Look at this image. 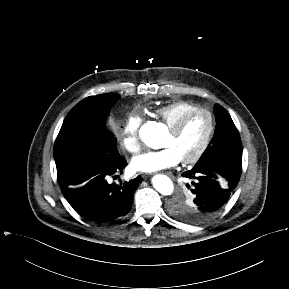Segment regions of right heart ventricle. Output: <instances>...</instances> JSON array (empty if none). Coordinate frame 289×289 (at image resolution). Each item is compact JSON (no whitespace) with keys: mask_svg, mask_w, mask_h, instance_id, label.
<instances>
[{"mask_svg":"<svg viewBox=\"0 0 289 289\" xmlns=\"http://www.w3.org/2000/svg\"><path fill=\"white\" fill-rule=\"evenodd\" d=\"M196 108H198V106L189 101L179 100L158 107L154 110L153 114L170 127L184 113Z\"/></svg>","mask_w":289,"mask_h":289,"instance_id":"right-heart-ventricle-1","label":"right heart ventricle"}]
</instances>
